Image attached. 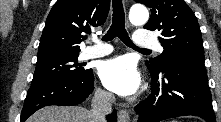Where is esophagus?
Instances as JSON below:
<instances>
[{"instance_id": "esophagus-1", "label": "esophagus", "mask_w": 221, "mask_h": 122, "mask_svg": "<svg viewBox=\"0 0 221 122\" xmlns=\"http://www.w3.org/2000/svg\"><path fill=\"white\" fill-rule=\"evenodd\" d=\"M119 122H129V113L125 109H120L118 112Z\"/></svg>"}]
</instances>
